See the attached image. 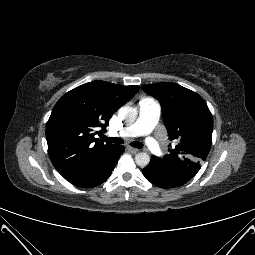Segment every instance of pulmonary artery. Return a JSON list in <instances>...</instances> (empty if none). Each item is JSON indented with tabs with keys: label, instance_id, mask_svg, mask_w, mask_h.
<instances>
[{
	"label": "pulmonary artery",
	"instance_id": "1",
	"mask_svg": "<svg viewBox=\"0 0 255 255\" xmlns=\"http://www.w3.org/2000/svg\"><path fill=\"white\" fill-rule=\"evenodd\" d=\"M161 107L158 102L151 98H144L139 102V116L137 120L121 129L117 135L122 137L145 136L148 149L156 154L162 153L159 142L151 136V132L158 123Z\"/></svg>",
	"mask_w": 255,
	"mask_h": 255
}]
</instances>
